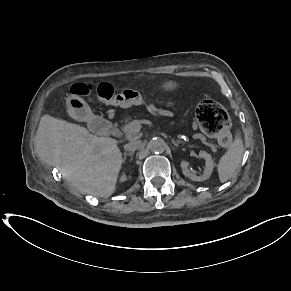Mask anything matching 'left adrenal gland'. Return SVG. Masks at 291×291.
<instances>
[{"label":"left adrenal gland","mask_w":291,"mask_h":291,"mask_svg":"<svg viewBox=\"0 0 291 291\" xmlns=\"http://www.w3.org/2000/svg\"><path fill=\"white\" fill-rule=\"evenodd\" d=\"M172 143L174 144V146H178L180 143H182V141H180V140H177V141L172 140Z\"/></svg>","instance_id":"a2214340"}]
</instances>
